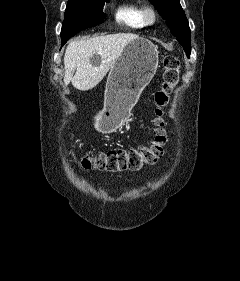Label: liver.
Segmentation results:
<instances>
[{"label": "liver", "instance_id": "liver-1", "mask_svg": "<svg viewBox=\"0 0 240 281\" xmlns=\"http://www.w3.org/2000/svg\"><path fill=\"white\" fill-rule=\"evenodd\" d=\"M138 37L132 33H117L71 41L64 55V84L72 82L80 91L93 89L114 67L124 47ZM94 55L100 57L98 65L91 62Z\"/></svg>", "mask_w": 240, "mask_h": 281}]
</instances>
